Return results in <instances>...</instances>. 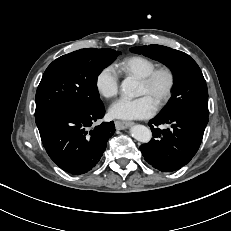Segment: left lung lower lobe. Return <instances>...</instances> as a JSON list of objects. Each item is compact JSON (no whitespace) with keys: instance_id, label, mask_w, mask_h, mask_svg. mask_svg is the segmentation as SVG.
Returning <instances> with one entry per match:
<instances>
[{"instance_id":"0a47b994","label":"left lung lower lobe","mask_w":231,"mask_h":231,"mask_svg":"<svg viewBox=\"0 0 231 231\" xmlns=\"http://www.w3.org/2000/svg\"><path fill=\"white\" fill-rule=\"evenodd\" d=\"M207 123L208 116L189 111L157 115L149 123L153 139L140 146L142 155L160 171H176L196 154ZM161 124L170 127L161 130L158 128Z\"/></svg>"}]
</instances>
